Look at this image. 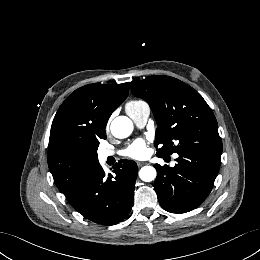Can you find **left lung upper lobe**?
<instances>
[{"label": "left lung upper lobe", "mask_w": 260, "mask_h": 260, "mask_svg": "<svg viewBox=\"0 0 260 260\" xmlns=\"http://www.w3.org/2000/svg\"><path fill=\"white\" fill-rule=\"evenodd\" d=\"M130 85L132 93L146 100L155 116L158 156L188 150L222 152L215 116L192 87L168 76L134 80Z\"/></svg>", "instance_id": "1"}]
</instances>
